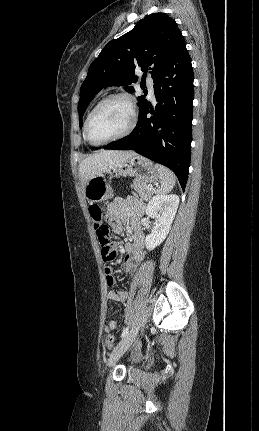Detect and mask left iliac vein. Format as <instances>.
<instances>
[{"label":"left iliac vein","instance_id":"4c4485c4","mask_svg":"<svg viewBox=\"0 0 259 431\" xmlns=\"http://www.w3.org/2000/svg\"><path fill=\"white\" fill-rule=\"evenodd\" d=\"M137 333H138V328L132 329L117 344V346L113 349L112 353L110 354V358L108 361L109 366L114 365L119 360V358L129 349V347L134 342L137 336Z\"/></svg>","mask_w":259,"mask_h":431}]
</instances>
